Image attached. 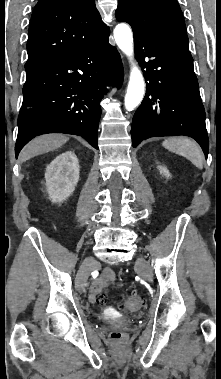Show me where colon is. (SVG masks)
I'll list each match as a JSON object with an SVG mask.
<instances>
[{"label":"colon","instance_id":"colon-1","mask_svg":"<svg viewBox=\"0 0 221 379\" xmlns=\"http://www.w3.org/2000/svg\"><path fill=\"white\" fill-rule=\"evenodd\" d=\"M143 297L136 293H131L126 295L122 302H121V308L123 311H136L141 307L143 304ZM97 302L100 304H103L105 302V296L100 295L97 299ZM110 339L114 341H123L126 339V334L121 331H113L110 333Z\"/></svg>","mask_w":221,"mask_h":379}]
</instances>
